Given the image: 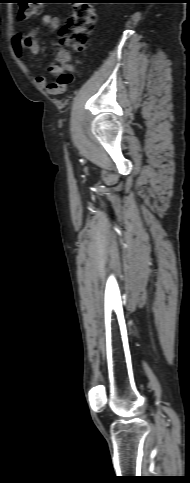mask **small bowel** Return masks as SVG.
Instances as JSON below:
<instances>
[{"mask_svg":"<svg viewBox=\"0 0 190 483\" xmlns=\"http://www.w3.org/2000/svg\"><path fill=\"white\" fill-rule=\"evenodd\" d=\"M42 24L48 25L53 31H56L60 28L61 22L60 19L57 17H52L51 15H44L42 18ZM11 48L15 56L18 58L22 57L25 50H28L33 55L37 54L40 48V44L36 37V32L31 31L27 34H15L11 39ZM62 58L63 62L65 63L66 69L70 72H74V68L66 64L69 56L67 54H63ZM35 80L39 86L45 87L50 94H58L63 91V89L58 90L55 83H49L46 76L44 75H37Z\"/></svg>","mask_w":190,"mask_h":483,"instance_id":"1","label":"small bowel"}]
</instances>
